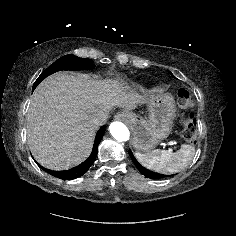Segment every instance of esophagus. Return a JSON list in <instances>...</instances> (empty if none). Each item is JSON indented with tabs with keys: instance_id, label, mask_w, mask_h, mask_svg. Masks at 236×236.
I'll return each mask as SVG.
<instances>
[{
	"instance_id": "1",
	"label": "esophagus",
	"mask_w": 236,
	"mask_h": 236,
	"mask_svg": "<svg viewBox=\"0 0 236 236\" xmlns=\"http://www.w3.org/2000/svg\"><path fill=\"white\" fill-rule=\"evenodd\" d=\"M126 116H127V114H125V113H123V112H118V113L115 115V119H117V120H123Z\"/></svg>"
}]
</instances>
